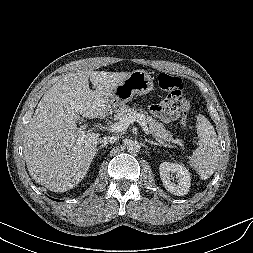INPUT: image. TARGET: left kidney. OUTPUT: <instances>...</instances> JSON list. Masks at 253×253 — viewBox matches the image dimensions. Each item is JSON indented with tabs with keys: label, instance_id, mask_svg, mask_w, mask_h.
<instances>
[{
	"label": "left kidney",
	"instance_id": "1",
	"mask_svg": "<svg viewBox=\"0 0 253 253\" xmlns=\"http://www.w3.org/2000/svg\"><path fill=\"white\" fill-rule=\"evenodd\" d=\"M160 177L167 191L177 196L188 193L191 185L189 171L178 163L163 162L159 166Z\"/></svg>",
	"mask_w": 253,
	"mask_h": 253
}]
</instances>
